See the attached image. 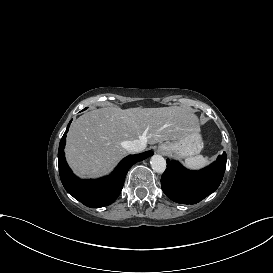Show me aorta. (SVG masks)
<instances>
[{
    "label": "aorta",
    "instance_id": "1",
    "mask_svg": "<svg viewBox=\"0 0 273 273\" xmlns=\"http://www.w3.org/2000/svg\"><path fill=\"white\" fill-rule=\"evenodd\" d=\"M152 169L157 173H163L166 169V160L161 155H153L150 159Z\"/></svg>",
    "mask_w": 273,
    "mask_h": 273
}]
</instances>
